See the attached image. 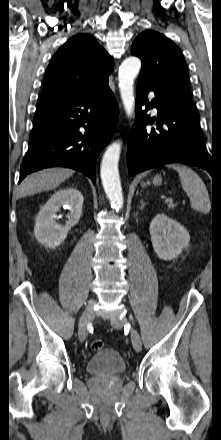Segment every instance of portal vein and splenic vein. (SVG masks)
<instances>
[{
  "mask_svg": "<svg viewBox=\"0 0 221 440\" xmlns=\"http://www.w3.org/2000/svg\"><path fill=\"white\" fill-rule=\"evenodd\" d=\"M169 201H172V199L169 197H165V202H169Z\"/></svg>",
  "mask_w": 221,
  "mask_h": 440,
  "instance_id": "18ae733b",
  "label": "portal vein and splenic vein"
}]
</instances>
